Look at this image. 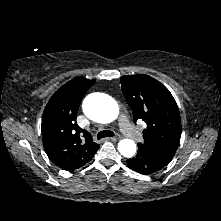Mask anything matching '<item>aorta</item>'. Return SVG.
<instances>
[{"label":"aorta","mask_w":221,"mask_h":221,"mask_svg":"<svg viewBox=\"0 0 221 221\" xmlns=\"http://www.w3.org/2000/svg\"><path fill=\"white\" fill-rule=\"evenodd\" d=\"M83 111L91 120L110 123L117 118L119 107L113 98L105 94L94 93L85 98ZM118 150L124 157L131 158L136 153V144L131 139H122L118 143Z\"/></svg>","instance_id":"aorta-1"}]
</instances>
